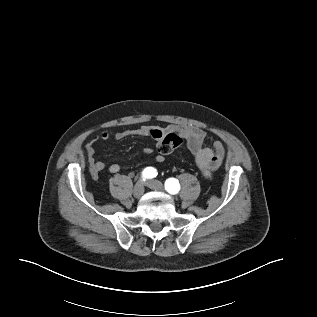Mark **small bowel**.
I'll use <instances>...</instances> for the list:
<instances>
[{"label": "small bowel", "instance_id": "obj_1", "mask_svg": "<svg viewBox=\"0 0 317 317\" xmlns=\"http://www.w3.org/2000/svg\"><path fill=\"white\" fill-rule=\"evenodd\" d=\"M171 131H178L186 140L187 148L193 155L197 167L200 169L205 177H211L212 173L218 169L225 156V147L221 141H214L211 147H204L203 143L206 137V132L197 126L186 125L179 130H172L169 128H158L155 126H142L140 128L131 130H122L117 132L104 131L98 138L93 139L86 146L87 159L89 164V171L94 178H97L99 173L107 166L104 162L96 159V142L98 139L108 141L111 138L115 140H123L129 137L150 136L158 143L162 138ZM154 153L152 148H145L144 155H151ZM155 160L159 163L164 161V154L159 150L155 154ZM111 174H116L120 171L119 164H111L107 167Z\"/></svg>", "mask_w": 317, "mask_h": 317}]
</instances>
